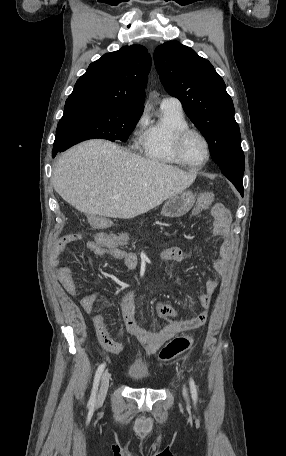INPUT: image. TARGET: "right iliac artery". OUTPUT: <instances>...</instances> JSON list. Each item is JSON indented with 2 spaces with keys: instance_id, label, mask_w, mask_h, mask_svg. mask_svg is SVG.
<instances>
[{
  "instance_id": "1",
  "label": "right iliac artery",
  "mask_w": 286,
  "mask_h": 456,
  "mask_svg": "<svg viewBox=\"0 0 286 456\" xmlns=\"http://www.w3.org/2000/svg\"><path fill=\"white\" fill-rule=\"evenodd\" d=\"M105 365H106L105 363L101 364L98 367L97 371H96V374H95V377H94V383H93L91 397H90V400L88 402V405L91 406V407H93L94 404H95L99 381H100L101 375H102V373L104 371Z\"/></svg>"
}]
</instances>
